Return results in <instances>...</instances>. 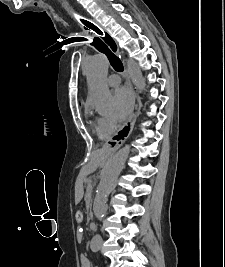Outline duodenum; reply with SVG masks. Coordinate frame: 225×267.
<instances>
[{"label":"duodenum","instance_id":"duodenum-1","mask_svg":"<svg viewBox=\"0 0 225 267\" xmlns=\"http://www.w3.org/2000/svg\"><path fill=\"white\" fill-rule=\"evenodd\" d=\"M90 227L95 228L96 227L95 223H91Z\"/></svg>","mask_w":225,"mask_h":267}]
</instances>
